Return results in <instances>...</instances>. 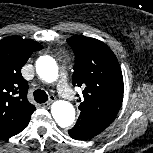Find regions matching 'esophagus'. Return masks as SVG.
<instances>
[{
    "label": "esophagus",
    "instance_id": "obj_1",
    "mask_svg": "<svg viewBox=\"0 0 153 153\" xmlns=\"http://www.w3.org/2000/svg\"><path fill=\"white\" fill-rule=\"evenodd\" d=\"M56 100L55 96L51 95L49 100L43 104L44 107H48Z\"/></svg>",
    "mask_w": 153,
    "mask_h": 153
}]
</instances>
